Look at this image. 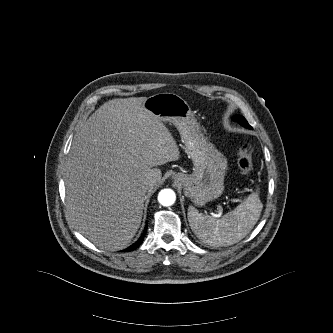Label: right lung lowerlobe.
Wrapping results in <instances>:
<instances>
[{
	"label": "right lung lower lobe",
	"mask_w": 333,
	"mask_h": 333,
	"mask_svg": "<svg viewBox=\"0 0 333 333\" xmlns=\"http://www.w3.org/2000/svg\"><path fill=\"white\" fill-rule=\"evenodd\" d=\"M146 230H147V227L145 228V230H144L142 236L140 237V239L138 241H136L133 245H131L129 248L125 249L124 251H131V250L135 249L136 247H138L141 244V242H142V240L145 236Z\"/></svg>",
	"instance_id": "98d812e1"
}]
</instances>
